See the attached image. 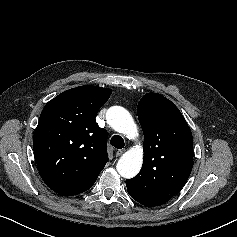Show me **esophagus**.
I'll return each instance as SVG.
<instances>
[{
  "label": "esophagus",
  "instance_id": "obj_1",
  "mask_svg": "<svg viewBox=\"0 0 237 237\" xmlns=\"http://www.w3.org/2000/svg\"><path fill=\"white\" fill-rule=\"evenodd\" d=\"M125 152H126V149L117 150L116 156H121V155H123Z\"/></svg>",
  "mask_w": 237,
  "mask_h": 237
}]
</instances>
